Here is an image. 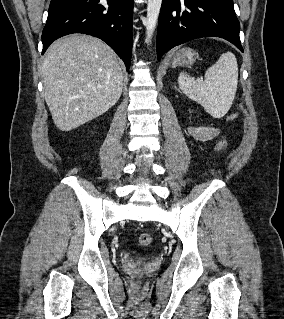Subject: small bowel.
Returning <instances> with one entry per match:
<instances>
[{
  "label": "small bowel",
  "mask_w": 284,
  "mask_h": 319,
  "mask_svg": "<svg viewBox=\"0 0 284 319\" xmlns=\"http://www.w3.org/2000/svg\"><path fill=\"white\" fill-rule=\"evenodd\" d=\"M188 133L196 141H209L219 134V129L211 126H191Z\"/></svg>",
  "instance_id": "obj_1"
}]
</instances>
